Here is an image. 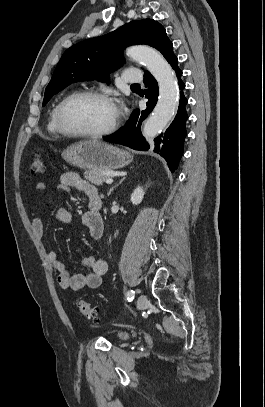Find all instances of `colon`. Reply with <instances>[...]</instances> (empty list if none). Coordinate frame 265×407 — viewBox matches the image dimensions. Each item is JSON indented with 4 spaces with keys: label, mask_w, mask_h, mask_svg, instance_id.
<instances>
[{
    "label": "colon",
    "mask_w": 265,
    "mask_h": 407,
    "mask_svg": "<svg viewBox=\"0 0 265 407\" xmlns=\"http://www.w3.org/2000/svg\"><path fill=\"white\" fill-rule=\"evenodd\" d=\"M44 169L45 167L42 156L39 153H35L31 160V173L33 175L41 174L44 172ZM76 307L85 318L90 319L94 322H97L99 320L98 310L87 301L77 300Z\"/></svg>",
    "instance_id": "obj_1"
}]
</instances>
